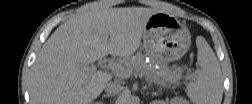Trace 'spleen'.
<instances>
[{
    "instance_id": "1",
    "label": "spleen",
    "mask_w": 252,
    "mask_h": 104,
    "mask_svg": "<svg viewBox=\"0 0 252 104\" xmlns=\"http://www.w3.org/2000/svg\"><path fill=\"white\" fill-rule=\"evenodd\" d=\"M197 61L200 71L186 87L189 99L195 104H219L223 96L220 64L207 41L199 36L196 40Z\"/></svg>"
}]
</instances>
